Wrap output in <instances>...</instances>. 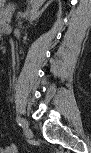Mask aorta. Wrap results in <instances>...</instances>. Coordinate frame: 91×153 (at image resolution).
Returning a JSON list of instances; mask_svg holds the SVG:
<instances>
[{
  "label": "aorta",
  "instance_id": "762f6f07",
  "mask_svg": "<svg viewBox=\"0 0 91 153\" xmlns=\"http://www.w3.org/2000/svg\"><path fill=\"white\" fill-rule=\"evenodd\" d=\"M43 2L44 0H31V10L29 11V15L31 18L37 13Z\"/></svg>",
  "mask_w": 91,
  "mask_h": 153
}]
</instances>
